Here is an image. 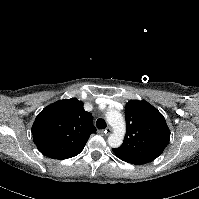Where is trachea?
<instances>
[{"label": "trachea", "mask_w": 199, "mask_h": 199, "mask_svg": "<svg viewBox=\"0 0 199 199\" xmlns=\"http://www.w3.org/2000/svg\"><path fill=\"white\" fill-rule=\"evenodd\" d=\"M96 126H97V128H99V129H105L107 125H106V122H105L104 119L99 118V119L96 121Z\"/></svg>", "instance_id": "obj_1"}]
</instances>
